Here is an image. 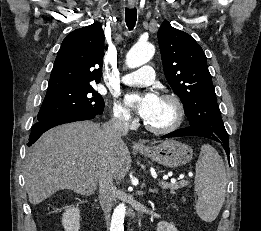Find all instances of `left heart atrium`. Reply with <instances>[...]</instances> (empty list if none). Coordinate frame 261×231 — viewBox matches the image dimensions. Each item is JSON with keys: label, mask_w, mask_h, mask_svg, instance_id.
I'll return each mask as SVG.
<instances>
[{"label": "left heart atrium", "mask_w": 261, "mask_h": 231, "mask_svg": "<svg viewBox=\"0 0 261 231\" xmlns=\"http://www.w3.org/2000/svg\"><path fill=\"white\" fill-rule=\"evenodd\" d=\"M159 97L151 92L140 94L130 93L126 95V103L136 111L143 119L148 120L159 102Z\"/></svg>", "instance_id": "left-heart-atrium-1"}]
</instances>
